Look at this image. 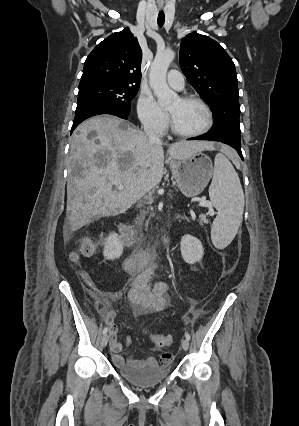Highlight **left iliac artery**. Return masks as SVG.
Returning <instances> with one entry per match:
<instances>
[{"label":"left iliac artery","mask_w":299,"mask_h":426,"mask_svg":"<svg viewBox=\"0 0 299 426\" xmlns=\"http://www.w3.org/2000/svg\"><path fill=\"white\" fill-rule=\"evenodd\" d=\"M185 337L187 340H190V334L189 333H185Z\"/></svg>","instance_id":"obj_1"}]
</instances>
